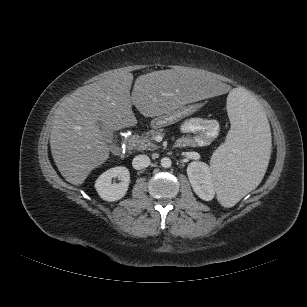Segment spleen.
Masks as SVG:
<instances>
[{
    "label": "spleen",
    "instance_id": "obj_1",
    "mask_svg": "<svg viewBox=\"0 0 307 307\" xmlns=\"http://www.w3.org/2000/svg\"><path fill=\"white\" fill-rule=\"evenodd\" d=\"M231 122L226 143L212 156L210 169L219 203L234 206L261 180L271 150L270 127L258 101L233 89L227 98Z\"/></svg>",
    "mask_w": 307,
    "mask_h": 307
}]
</instances>
